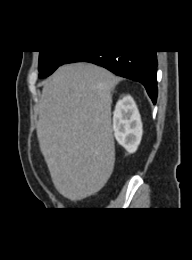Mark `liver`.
<instances>
[{"mask_svg": "<svg viewBox=\"0 0 192 260\" xmlns=\"http://www.w3.org/2000/svg\"><path fill=\"white\" fill-rule=\"evenodd\" d=\"M119 79L91 63L61 66L38 103L37 137L56 190L75 201L98 192L114 168L111 90Z\"/></svg>", "mask_w": 192, "mask_h": 260, "instance_id": "liver-1", "label": "liver"}]
</instances>
